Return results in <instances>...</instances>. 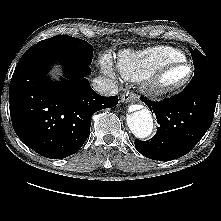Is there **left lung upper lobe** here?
<instances>
[{"label": "left lung upper lobe", "mask_w": 221, "mask_h": 221, "mask_svg": "<svg viewBox=\"0 0 221 221\" xmlns=\"http://www.w3.org/2000/svg\"><path fill=\"white\" fill-rule=\"evenodd\" d=\"M192 56L195 67L194 75L214 70L211 63L206 59V57L203 54H201L200 51L195 50Z\"/></svg>", "instance_id": "5c2ea615"}]
</instances>
